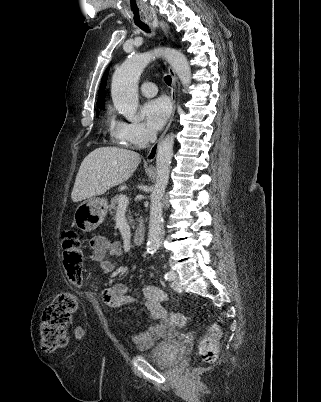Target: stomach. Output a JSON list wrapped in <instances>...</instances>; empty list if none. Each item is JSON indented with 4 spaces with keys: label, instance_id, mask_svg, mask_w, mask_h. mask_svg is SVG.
I'll return each mask as SVG.
<instances>
[{
    "label": "stomach",
    "instance_id": "0dacf381",
    "mask_svg": "<svg viewBox=\"0 0 321 402\" xmlns=\"http://www.w3.org/2000/svg\"><path fill=\"white\" fill-rule=\"evenodd\" d=\"M108 210L106 198L93 196L80 203L73 215L74 225L85 232L96 229L105 219Z\"/></svg>",
    "mask_w": 321,
    "mask_h": 402
}]
</instances>
